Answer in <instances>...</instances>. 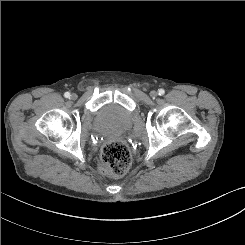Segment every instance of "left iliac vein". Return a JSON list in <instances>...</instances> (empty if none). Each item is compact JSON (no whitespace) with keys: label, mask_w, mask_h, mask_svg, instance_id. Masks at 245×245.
I'll return each instance as SVG.
<instances>
[{"label":"left iliac vein","mask_w":245,"mask_h":245,"mask_svg":"<svg viewBox=\"0 0 245 245\" xmlns=\"http://www.w3.org/2000/svg\"><path fill=\"white\" fill-rule=\"evenodd\" d=\"M150 96L152 97V98H155V97H157L158 96V93L156 92V91H151L150 92Z\"/></svg>","instance_id":"4c4485c4"}]
</instances>
